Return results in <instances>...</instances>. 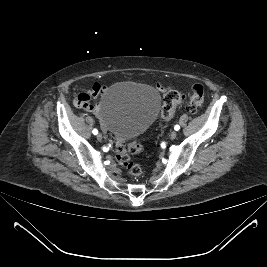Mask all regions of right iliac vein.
Here are the masks:
<instances>
[{
  "instance_id": "right-iliac-vein-1",
  "label": "right iliac vein",
  "mask_w": 267,
  "mask_h": 267,
  "mask_svg": "<svg viewBox=\"0 0 267 267\" xmlns=\"http://www.w3.org/2000/svg\"><path fill=\"white\" fill-rule=\"evenodd\" d=\"M102 139H103V136H102L101 133H99V134L97 135V140H98V141H102Z\"/></svg>"
}]
</instances>
